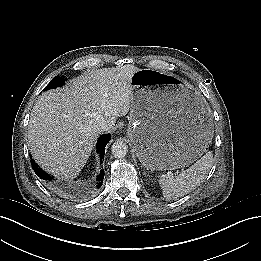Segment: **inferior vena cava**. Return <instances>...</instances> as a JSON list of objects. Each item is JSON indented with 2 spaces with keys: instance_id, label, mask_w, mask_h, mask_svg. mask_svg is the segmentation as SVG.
Masks as SVG:
<instances>
[{
  "instance_id": "obj_1",
  "label": "inferior vena cava",
  "mask_w": 261,
  "mask_h": 261,
  "mask_svg": "<svg viewBox=\"0 0 261 261\" xmlns=\"http://www.w3.org/2000/svg\"><path fill=\"white\" fill-rule=\"evenodd\" d=\"M91 127L92 129L99 133V132H102V131H107L108 130V122L107 120L102 117V116H97L95 117V119L92 121V124H91Z\"/></svg>"
}]
</instances>
